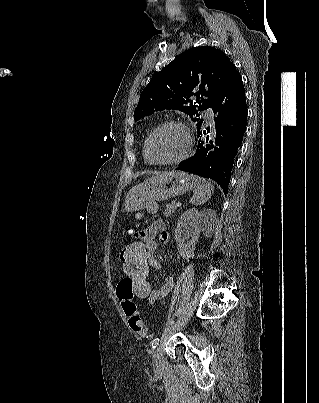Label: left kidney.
Masks as SVG:
<instances>
[{
	"instance_id": "5707ae66",
	"label": "left kidney",
	"mask_w": 319,
	"mask_h": 403,
	"mask_svg": "<svg viewBox=\"0 0 319 403\" xmlns=\"http://www.w3.org/2000/svg\"><path fill=\"white\" fill-rule=\"evenodd\" d=\"M214 217L215 212L211 209L204 210L199 213L196 208L186 210L180 217L175 228V241L177 243L178 252L183 258H189L193 255L195 245L198 242L200 233L204 230V226L208 217ZM185 224H190L191 240L185 243V239L181 235V228Z\"/></svg>"
}]
</instances>
